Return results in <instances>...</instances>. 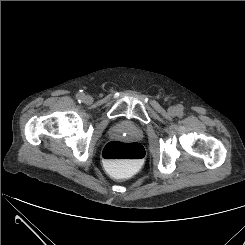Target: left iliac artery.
<instances>
[{
    "mask_svg": "<svg viewBox=\"0 0 245 245\" xmlns=\"http://www.w3.org/2000/svg\"><path fill=\"white\" fill-rule=\"evenodd\" d=\"M182 111H183V106H179L178 107V114L181 115L182 114Z\"/></svg>",
    "mask_w": 245,
    "mask_h": 245,
    "instance_id": "44dca946",
    "label": "left iliac artery"
}]
</instances>
